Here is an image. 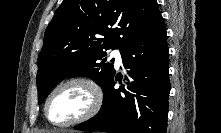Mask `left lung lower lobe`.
<instances>
[{
    "mask_svg": "<svg viewBox=\"0 0 221 133\" xmlns=\"http://www.w3.org/2000/svg\"><path fill=\"white\" fill-rule=\"evenodd\" d=\"M129 77L114 89L115 72L103 89L96 116L74 128L108 133H166L170 81L166 29L160 16L121 50Z\"/></svg>",
    "mask_w": 221,
    "mask_h": 133,
    "instance_id": "obj_1",
    "label": "left lung lower lobe"
}]
</instances>
